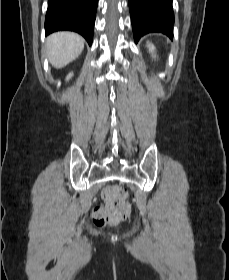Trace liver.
Returning a JSON list of instances; mask_svg holds the SVG:
<instances>
[{
	"mask_svg": "<svg viewBox=\"0 0 229 280\" xmlns=\"http://www.w3.org/2000/svg\"><path fill=\"white\" fill-rule=\"evenodd\" d=\"M47 56L55 68H63L83 51L84 39L72 32H57L46 40Z\"/></svg>",
	"mask_w": 229,
	"mask_h": 280,
	"instance_id": "6515ba94",
	"label": "liver"
}]
</instances>
